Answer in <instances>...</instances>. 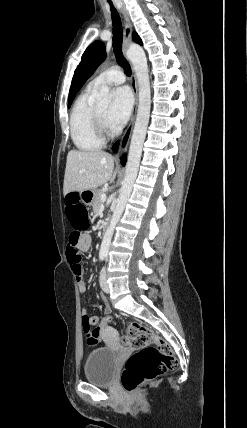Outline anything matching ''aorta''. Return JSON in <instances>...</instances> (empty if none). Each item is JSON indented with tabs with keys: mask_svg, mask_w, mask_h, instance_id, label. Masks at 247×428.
<instances>
[{
	"mask_svg": "<svg viewBox=\"0 0 247 428\" xmlns=\"http://www.w3.org/2000/svg\"><path fill=\"white\" fill-rule=\"evenodd\" d=\"M126 55L131 61L134 71L136 73L139 92V104L129 148L125 177L122 183L120 194L116 201V206L113 211L110 225L108 226L103 236L99 253L101 257H106L108 255L114 229L123 214L127 201L131 194L133 184L137 177L143 143L146 137V131L150 117L151 88L145 52L138 45H130ZM110 101L111 95L109 93V88L106 85H102L97 95L98 105L100 107H107Z\"/></svg>",
	"mask_w": 247,
	"mask_h": 428,
	"instance_id": "aorta-1",
	"label": "aorta"
}]
</instances>
